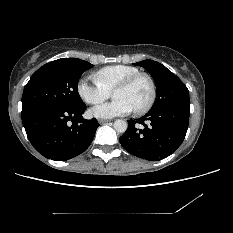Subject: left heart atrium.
<instances>
[{
	"mask_svg": "<svg viewBox=\"0 0 233 233\" xmlns=\"http://www.w3.org/2000/svg\"><path fill=\"white\" fill-rule=\"evenodd\" d=\"M134 109L130 103L124 99H114L112 102L101 104L93 108V114L98 118H113L126 115Z\"/></svg>",
	"mask_w": 233,
	"mask_h": 233,
	"instance_id": "left-heart-atrium-1",
	"label": "left heart atrium"
}]
</instances>
